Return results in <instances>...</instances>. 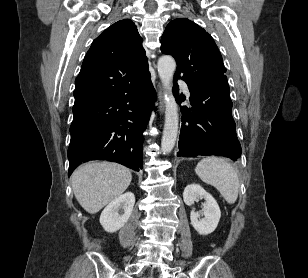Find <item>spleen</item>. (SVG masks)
Instances as JSON below:
<instances>
[{
    "label": "spleen",
    "mask_w": 308,
    "mask_h": 278,
    "mask_svg": "<svg viewBox=\"0 0 308 278\" xmlns=\"http://www.w3.org/2000/svg\"><path fill=\"white\" fill-rule=\"evenodd\" d=\"M196 174L206 184L215 187L228 204H234L239 193V178L235 168L224 158L209 156L198 162Z\"/></svg>",
    "instance_id": "obj_1"
}]
</instances>
